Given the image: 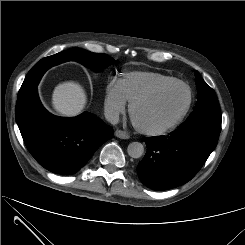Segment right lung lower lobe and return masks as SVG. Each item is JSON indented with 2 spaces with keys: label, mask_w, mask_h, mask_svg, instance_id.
I'll return each instance as SVG.
<instances>
[{
  "label": "right lung lower lobe",
  "mask_w": 245,
  "mask_h": 245,
  "mask_svg": "<svg viewBox=\"0 0 245 245\" xmlns=\"http://www.w3.org/2000/svg\"><path fill=\"white\" fill-rule=\"evenodd\" d=\"M16 121L31 155L47 170L70 175L79 171L113 134L112 127L91 113L56 117L42 106L37 88L17 100Z\"/></svg>",
  "instance_id": "right-lung-lower-lobe-1"
}]
</instances>
